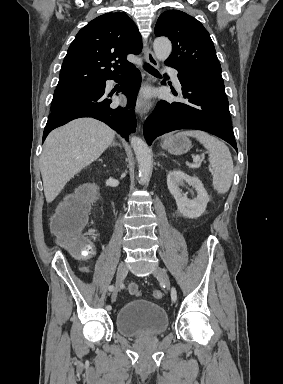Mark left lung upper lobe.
<instances>
[{"mask_svg": "<svg viewBox=\"0 0 283 384\" xmlns=\"http://www.w3.org/2000/svg\"><path fill=\"white\" fill-rule=\"evenodd\" d=\"M155 35L172 42L166 65L187 77L224 84L210 35L194 17L179 10L165 11L158 18Z\"/></svg>", "mask_w": 283, "mask_h": 384, "instance_id": "1", "label": "left lung upper lobe"}]
</instances>
